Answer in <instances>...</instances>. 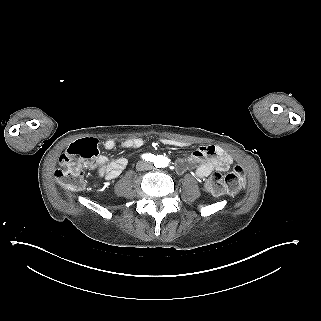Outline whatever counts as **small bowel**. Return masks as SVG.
I'll return each mask as SVG.
<instances>
[{
	"mask_svg": "<svg viewBox=\"0 0 321 321\" xmlns=\"http://www.w3.org/2000/svg\"><path fill=\"white\" fill-rule=\"evenodd\" d=\"M161 142L177 148L189 147L190 143L176 139L162 138ZM144 144L143 139L133 138L123 141L120 145L122 149L136 151ZM103 146L107 150H113L116 147V142L108 139L103 142ZM232 164V158L221 147L214 145L201 146L199 149L191 153L185 158H181L176 162L178 172H184L190 169L195 170V175L204 179L213 171H226ZM127 165L125 158L109 159L101 155L92 162H87L85 167L91 170H96L101 178L113 180L117 178Z\"/></svg>",
	"mask_w": 321,
	"mask_h": 321,
	"instance_id": "obj_1",
	"label": "small bowel"
}]
</instances>
